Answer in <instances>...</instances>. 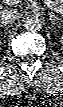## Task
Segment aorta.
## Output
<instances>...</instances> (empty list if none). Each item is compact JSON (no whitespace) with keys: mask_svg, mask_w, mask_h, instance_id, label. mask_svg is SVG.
Segmentation results:
<instances>
[{"mask_svg":"<svg viewBox=\"0 0 63 107\" xmlns=\"http://www.w3.org/2000/svg\"><path fill=\"white\" fill-rule=\"evenodd\" d=\"M24 28L29 32H38L42 28L41 20L37 16H28L25 20Z\"/></svg>","mask_w":63,"mask_h":107,"instance_id":"aorta-1","label":"aorta"}]
</instances>
